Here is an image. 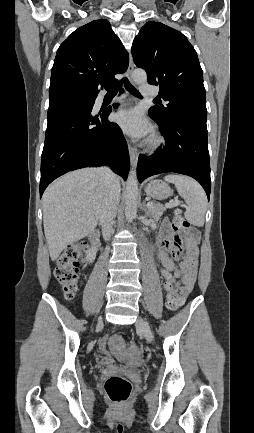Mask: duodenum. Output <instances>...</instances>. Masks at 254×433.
I'll use <instances>...</instances> for the list:
<instances>
[{
    "label": "duodenum",
    "instance_id": "410a0bca",
    "mask_svg": "<svg viewBox=\"0 0 254 433\" xmlns=\"http://www.w3.org/2000/svg\"><path fill=\"white\" fill-rule=\"evenodd\" d=\"M90 242L94 245V246H97L98 245V243H99V239H100V234H99V232H93L91 235H90Z\"/></svg>",
    "mask_w": 254,
    "mask_h": 433
}]
</instances>
